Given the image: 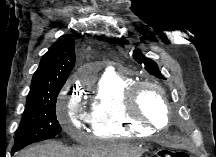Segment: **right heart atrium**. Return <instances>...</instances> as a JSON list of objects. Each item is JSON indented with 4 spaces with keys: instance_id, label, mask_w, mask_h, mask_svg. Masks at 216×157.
Instances as JSON below:
<instances>
[{
    "instance_id": "1",
    "label": "right heart atrium",
    "mask_w": 216,
    "mask_h": 157,
    "mask_svg": "<svg viewBox=\"0 0 216 157\" xmlns=\"http://www.w3.org/2000/svg\"><path fill=\"white\" fill-rule=\"evenodd\" d=\"M60 124L69 134H76L89 123L88 114L81 108L78 99L70 96L65 105V111L60 114Z\"/></svg>"
}]
</instances>
